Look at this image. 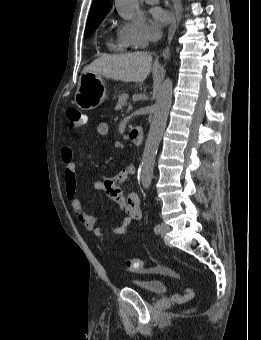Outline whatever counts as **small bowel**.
I'll return each mask as SVG.
<instances>
[{
	"label": "small bowel",
	"instance_id": "small-bowel-1",
	"mask_svg": "<svg viewBox=\"0 0 261 340\" xmlns=\"http://www.w3.org/2000/svg\"><path fill=\"white\" fill-rule=\"evenodd\" d=\"M97 133L100 136H107L109 133L108 124L104 122L99 123L97 126ZM61 159L65 165L66 195L73 214L83 228L92 232L100 239L105 238V230L102 227L96 226L95 218L83 209L77 197L76 164L73 159L71 147L65 146L61 149ZM135 172V166L129 165L116 175L106 178L105 180H93L94 189L104 192L107 198L115 202L126 214L120 224L111 229V232L114 234H124L135 221L140 220L142 217L139 196L136 193H129L126 195L121 188V184L130 176H133Z\"/></svg>",
	"mask_w": 261,
	"mask_h": 340
}]
</instances>
